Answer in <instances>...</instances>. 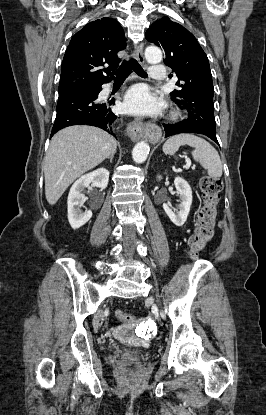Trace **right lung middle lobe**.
Wrapping results in <instances>:
<instances>
[{"mask_svg": "<svg viewBox=\"0 0 266 415\" xmlns=\"http://www.w3.org/2000/svg\"><path fill=\"white\" fill-rule=\"evenodd\" d=\"M88 90L89 89H84V90H79V91H75V92L68 93V94L80 93V92H85V91H88ZM65 95H67V94H65Z\"/></svg>", "mask_w": 266, "mask_h": 415, "instance_id": "dd1d6c3e", "label": "right lung middle lobe"}]
</instances>
